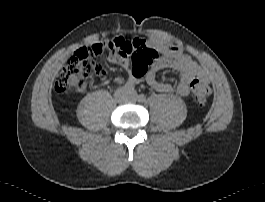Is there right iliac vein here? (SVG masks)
Here are the masks:
<instances>
[{
	"mask_svg": "<svg viewBox=\"0 0 265 202\" xmlns=\"http://www.w3.org/2000/svg\"><path fill=\"white\" fill-rule=\"evenodd\" d=\"M124 92H125V90H124L123 88L118 89V90H117V95H118V96H121V95L124 94Z\"/></svg>",
	"mask_w": 265,
	"mask_h": 202,
	"instance_id": "obj_1",
	"label": "right iliac vein"
}]
</instances>
